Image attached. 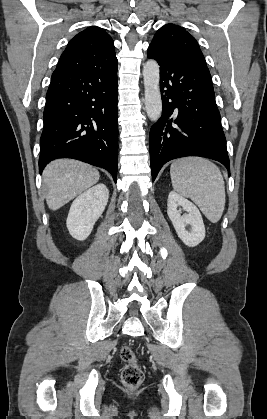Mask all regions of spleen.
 I'll list each match as a JSON object with an SVG mask.
<instances>
[{
	"label": "spleen",
	"mask_w": 267,
	"mask_h": 419,
	"mask_svg": "<svg viewBox=\"0 0 267 419\" xmlns=\"http://www.w3.org/2000/svg\"><path fill=\"white\" fill-rule=\"evenodd\" d=\"M173 189L198 205L205 217L217 223L225 207V184L220 169L201 157L175 160L170 167Z\"/></svg>",
	"instance_id": "spleen-1"
}]
</instances>
